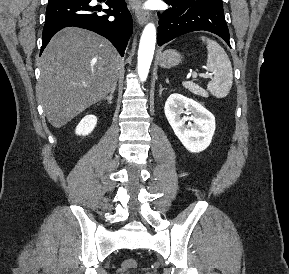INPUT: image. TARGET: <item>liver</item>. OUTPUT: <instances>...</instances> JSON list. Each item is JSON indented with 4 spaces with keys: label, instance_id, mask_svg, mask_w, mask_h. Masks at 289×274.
<instances>
[{
    "label": "liver",
    "instance_id": "1",
    "mask_svg": "<svg viewBox=\"0 0 289 274\" xmlns=\"http://www.w3.org/2000/svg\"><path fill=\"white\" fill-rule=\"evenodd\" d=\"M121 57L105 38L75 27L58 32L40 60L36 95L49 123L60 128L116 86Z\"/></svg>",
    "mask_w": 289,
    "mask_h": 274
}]
</instances>
